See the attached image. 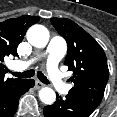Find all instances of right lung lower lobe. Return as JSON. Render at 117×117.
Returning a JSON list of instances; mask_svg holds the SVG:
<instances>
[{
    "instance_id": "right-lung-lower-lobe-1",
    "label": "right lung lower lobe",
    "mask_w": 117,
    "mask_h": 117,
    "mask_svg": "<svg viewBox=\"0 0 117 117\" xmlns=\"http://www.w3.org/2000/svg\"><path fill=\"white\" fill-rule=\"evenodd\" d=\"M34 84L33 79L22 80L5 94L0 99V117H13L18 107L19 98Z\"/></svg>"
}]
</instances>
